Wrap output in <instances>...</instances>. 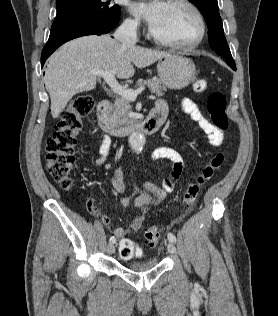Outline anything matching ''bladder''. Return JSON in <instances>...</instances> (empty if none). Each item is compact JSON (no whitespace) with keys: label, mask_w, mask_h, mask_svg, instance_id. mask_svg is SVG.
Returning <instances> with one entry per match:
<instances>
[{"label":"bladder","mask_w":278,"mask_h":316,"mask_svg":"<svg viewBox=\"0 0 278 316\" xmlns=\"http://www.w3.org/2000/svg\"><path fill=\"white\" fill-rule=\"evenodd\" d=\"M158 264L159 261L153 258L143 261L128 262L125 266L133 272L142 273L154 269Z\"/></svg>","instance_id":"obj_1"}]
</instances>
